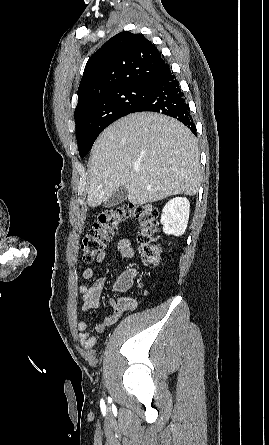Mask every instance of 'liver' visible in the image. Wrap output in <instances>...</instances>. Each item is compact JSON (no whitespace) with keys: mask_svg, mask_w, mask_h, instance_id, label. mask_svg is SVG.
<instances>
[{"mask_svg":"<svg viewBox=\"0 0 269 445\" xmlns=\"http://www.w3.org/2000/svg\"><path fill=\"white\" fill-rule=\"evenodd\" d=\"M88 172L87 201L92 208L121 186L128 200L137 205L177 194L193 196L201 179L197 139L169 116L130 114L98 137Z\"/></svg>","mask_w":269,"mask_h":445,"instance_id":"6515ba94","label":"liver"}]
</instances>
